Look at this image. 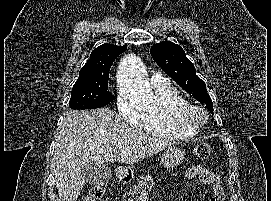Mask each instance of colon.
<instances>
[{"label": "colon", "mask_w": 271, "mask_h": 201, "mask_svg": "<svg viewBox=\"0 0 271 201\" xmlns=\"http://www.w3.org/2000/svg\"><path fill=\"white\" fill-rule=\"evenodd\" d=\"M212 149L208 143H199L194 148V154L202 159H206L211 155ZM106 191V185L103 182L93 185L84 201H100Z\"/></svg>", "instance_id": "1"}]
</instances>
